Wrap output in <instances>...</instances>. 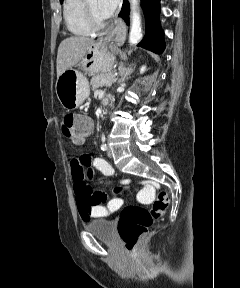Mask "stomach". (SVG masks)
I'll return each mask as SVG.
<instances>
[{
    "label": "stomach",
    "instance_id": "0dacf381",
    "mask_svg": "<svg viewBox=\"0 0 240 288\" xmlns=\"http://www.w3.org/2000/svg\"><path fill=\"white\" fill-rule=\"evenodd\" d=\"M115 56L104 40L88 47L84 57L77 64L87 73H107L112 70ZM79 69L64 71L56 81V94L63 108L70 110L79 107L90 94L89 82Z\"/></svg>",
    "mask_w": 240,
    "mask_h": 288
}]
</instances>
